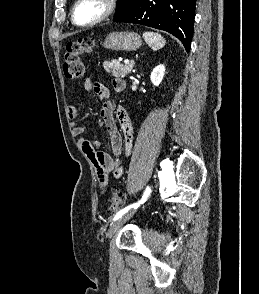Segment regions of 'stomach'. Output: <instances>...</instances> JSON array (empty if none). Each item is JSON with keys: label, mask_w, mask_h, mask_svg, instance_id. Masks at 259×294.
<instances>
[{"label": "stomach", "mask_w": 259, "mask_h": 294, "mask_svg": "<svg viewBox=\"0 0 259 294\" xmlns=\"http://www.w3.org/2000/svg\"><path fill=\"white\" fill-rule=\"evenodd\" d=\"M142 44L141 37L134 32H112L104 40V47L113 51H135Z\"/></svg>", "instance_id": "1"}]
</instances>
